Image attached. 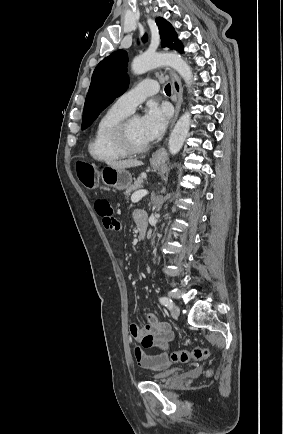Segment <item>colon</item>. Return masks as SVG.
<instances>
[{
  "label": "colon",
  "mask_w": 283,
  "mask_h": 434,
  "mask_svg": "<svg viewBox=\"0 0 283 434\" xmlns=\"http://www.w3.org/2000/svg\"><path fill=\"white\" fill-rule=\"evenodd\" d=\"M77 176L80 182L88 189H94L98 185L96 169L88 163H78L76 166ZM209 357V350L204 347H196L192 350H177L171 353L174 362L200 361Z\"/></svg>",
  "instance_id": "colon-1"
}]
</instances>
